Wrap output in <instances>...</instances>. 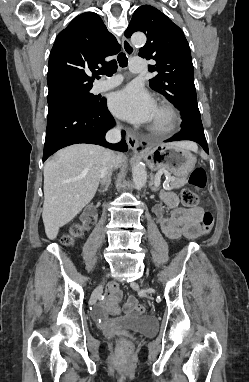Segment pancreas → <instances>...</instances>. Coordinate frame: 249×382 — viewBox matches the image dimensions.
<instances>
[{"instance_id": "cf45deb5", "label": "pancreas", "mask_w": 249, "mask_h": 382, "mask_svg": "<svg viewBox=\"0 0 249 382\" xmlns=\"http://www.w3.org/2000/svg\"><path fill=\"white\" fill-rule=\"evenodd\" d=\"M187 183V177L182 176V177H177L173 181H170V187L172 189H179L183 187Z\"/></svg>"}]
</instances>
